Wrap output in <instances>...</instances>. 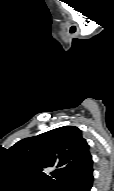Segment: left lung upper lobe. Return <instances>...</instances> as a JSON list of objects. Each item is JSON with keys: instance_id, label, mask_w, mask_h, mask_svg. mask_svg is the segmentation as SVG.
Here are the masks:
<instances>
[{"instance_id": "1", "label": "left lung upper lobe", "mask_w": 114, "mask_h": 191, "mask_svg": "<svg viewBox=\"0 0 114 191\" xmlns=\"http://www.w3.org/2000/svg\"><path fill=\"white\" fill-rule=\"evenodd\" d=\"M9 152L22 168L55 190H60L91 158L89 145L75 126L22 139Z\"/></svg>"}]
</instances>
